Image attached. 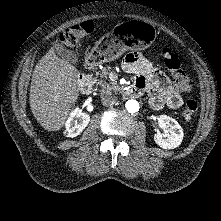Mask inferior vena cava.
I'll list each match as a JSON object with an SVG mask.
<instances>
[{
  "mask_svg": "<svg viewBox=\"0 0 221 221\" xmlns=\"http://www.w3.org/2000/svg\"><path fill=\"white\" fill-rule=\"evenodd\" d=\"M102 103L106 107H111L118 104V100L115 96H111L108 93H104L101 97Z\"/></svg>",
  "mask_w": 221,
  "mask_h": 221,
  "instance_id": "1",
  "label": "inferior vena cava"
}]
</instances>
